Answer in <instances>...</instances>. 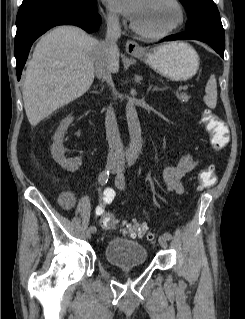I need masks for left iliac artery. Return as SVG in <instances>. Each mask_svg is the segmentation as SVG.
<instances>
[{"mask_svg":"<svg viewBox=\"0 0 245 319\" xmlns=\"http://www.w3.org/2000/svg\"><path fill=\"white\" fill-rule=\"evenodd\" d=\"M133 164H134V159H129V160H128V164H127L128 168H130ZM123 188H125L124 175H123V180L121 181V189H123ZM163 236H164L165 238H167L168 240L172 239V235H171L169 232H165V233L163 234Z\"/></svg>","mask_w":245,"mask_h":319,"instance_id":"44dca946","label":"left iliac artery"}]
</instances>
